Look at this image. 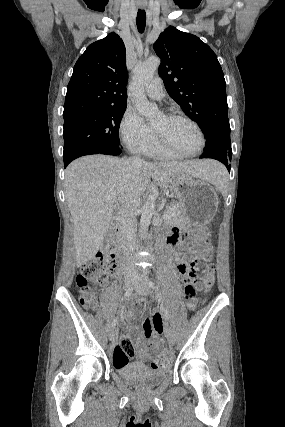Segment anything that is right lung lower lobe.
Wrapping results in <instances>:
<instances>
[{
	"mask_svg": "<svg viewBox=\"0 0 285 427\" xmlns=\"http://www.w3.org/2000/svg\"><path fill=\"white\" fill-rule=\"evenodd\" d=\"M69 163H64V167H66Z\"/></svg>",
	"mask_w": 285,
	"mask_h": 427,
	"instance_id": "98d812e1",
	"label": "right lung lower lobe"
}]
</instances>
